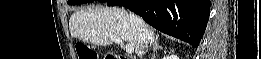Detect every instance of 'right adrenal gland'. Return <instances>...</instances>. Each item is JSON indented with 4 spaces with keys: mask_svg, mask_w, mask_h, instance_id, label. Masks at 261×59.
I'll return each instance as SVG.
<instances>
[{
    "mask_svg": "<svg viewBox=\"0 0 261 59\" xmlns=\"http://www.w3.org/2000/svg\"><path fill=\"white\" fill-rule=\"evenodd\" d=\"M160 49H162V46H160L159 44H158V42H154V44H153V58H155V52L157 51V50H160Z\"/></svg>",
    "mask_w": 261,
    "mask_h": 59,
    "instance_id": "1",
    "label": "right adrenal gland"
}]
</instances>
